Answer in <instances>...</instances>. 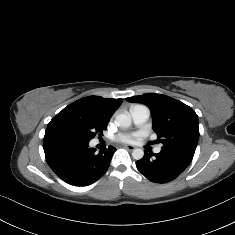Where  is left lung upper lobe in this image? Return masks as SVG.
I'll use <instances>...</instances> for the list:
<instances>
[{
    "instance_id": "1",
    "label": "left lung upper lobe",
    "mask_w": 235,
    "mask_h": 235,
    "mask_svg": "<svg viewBox=\"0 0 235 235\" xmlns=\"http://www.w3.org/2000/svg\"><path fill=\"white\" fill-rule=\"evenodd\" d=\"M129 102L146 104L153 118V130L164 149L194 156L199 139L198 116L194 110L169 96L147 93L127 98Z\"/></svg>"
}]
</instances>
